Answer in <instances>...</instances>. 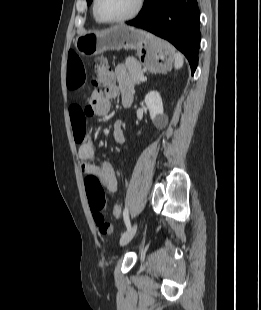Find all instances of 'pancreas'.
Wrapping results in <instances>:
<instances>
[{
    "instance_id": "pancreas-1",
    "label": "pancreas",
    "mask_w": 261,
    "mask_h": 310,
    "mask_svg": "<svg viewBox=\"0 0 261 310\" xmlns=\"http://www.w3.org/2000/svg\"><path fill=\"white\" fill-rule=\"evenodd\" d=\"M125 65L128 69V83L132 86L140 84V77L144 75L141 65L132 58H127Z\"/></svg>"
}]
</instances>
